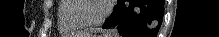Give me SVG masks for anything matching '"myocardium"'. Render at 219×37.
<instances>
[{
	"label": "myocardium",
	"instance_id": "1",
	"mask_svg": "<svg viewBox=\"0 0 219 37\" xmlns=\"http://www.w3.org/2000/svg\"><path fill=\"white\" fill-rule=\"evenodd\" d=\"M79 0H70V2L72 3V6L68 12V17L69 19L77 26L82 27V28H86V27H96L101 25L109 16L110 12H111V0H107L105 1V9L104 12L102 13V15L96 19V20H92V21H84V20H80L76 17V12L79 9Z\"/></svg>",
	"mask_w": 219,
	"mask_h": 37
}]
</instances>
